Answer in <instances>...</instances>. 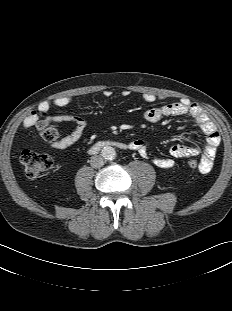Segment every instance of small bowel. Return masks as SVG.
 Here are the masks:
<instances>
[{"instance_id":"obj_1","label":"small bowel","mask_w":232,"mask_h":311,"mask_svg":"<svg viewBox=\"0 0 232 311\" xmlns=\"http://www.w3.org/2000/svg\"><path fill=\"white\" fill-rule=\"evenodd\" d=\"M111 91H103L105 97L111 96ZM130 92L124 90L122 95L124 97L129 96ZM142 99L151 103L156 100V96L150 92H144L141 95ZM73 101L72 96H59L51 99L44 100L38 107V112L45 114L51 107H64ZM169 116H189L191 117L197 126L200 128L205 136L203 147L190 146L183 144H175L170 147V157H154L152 162L155 166L161 169H170L175 165L174 158H183L191 155L197 156L202 154L200 160V170L203 173H207L212 169L213 161L216 155V148L220 143V133L216 125L210 120L203 109L196 105L191 104L187 100H181L165 104L160 107L150 108L145 111L144 119L149 123H156L164 117ZM39 122V116L37 112H31L23 121V125L26 129H31ZM72 122L74 129L66 136L60 138L56 142L52 143V147L56 149H66L76 144L83 136L87 121L85 117L79 114H56L49 116L45 123H62ZM129 149L138 152L142 157H148V148L144 140L136 139L129 143Z\"/></svg>"}]
</instances>
